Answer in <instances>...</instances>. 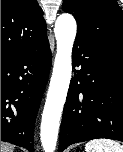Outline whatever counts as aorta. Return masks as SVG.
<instances>
[{"mask_svg": "<svg viewBox=\"0 0 123 152\" xmlns=\"http://www.w3.org/2000/svg\"><path fill=\"white\" fill-rule=\"evenodd\" d=\"M57 53L41 121V143L45 152L56 148L60 118L72 74V48L77 24L70 14L60 15L55 23Z\"/></svg>", "mask_w": 123, "mask_h": 152, "instance_id": "762f6f07", "label": "aorta"}]
</instances>
